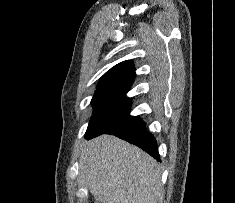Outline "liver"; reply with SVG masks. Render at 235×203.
Masks as SVG:
<instances>
[{"instance_id": "obj_1", "label": "liver", "mask_w": 235, "mask_h": 203, "mask_svg": "<svg viewBox=\"0 0 235 203\" xmlns=\"http://www.w3.org/2000/svg\"><path fill=\"white\" fill-rule=\"evenodd\" d=\"M79 174L100 203H157L161 196L162 172L156 160L112 135L84 144Z\"/></svg>"}]
</instances>
